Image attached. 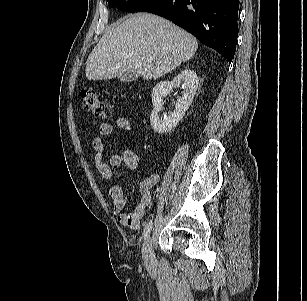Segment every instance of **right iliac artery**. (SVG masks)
<instances>
[{"label": "right iliac artery", "instance_id": "82829eb1", "mask_svg": "<svg viewBox=\"0 0 307 301\" xmlns=\"http://www.w3.org/2000/svg\"><path fill=\"white\" fill-rule=\"evenodd\" d=\"M152 229V221H149L144 228L143 237L146 239Z\"/></svg>", "mask_w": 307, "mask_h": 301}]
</instances>
